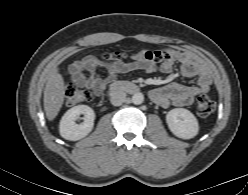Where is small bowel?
<instances>
[{
    "instance_id": "c3829d8e",
    "label": "small bowel",
    "mask_w": 248,
    "mask_h": 195,
    "mask_svg": "<svg viewBox=\"0 0 248 195\" xmlns=\"http://www.w3.org/2000/svg\"><path fill=\"white\" fill-rule=\"evenodd\" d=\"M146 50H140L132 54L131 61L116 60L111 63L102 64L93 57H86L75 62L70 67V76L75 84L87 87L95 94L100 95L106 86L116 80L119 76L133 71L152 73L160 70L170 74L175 63H179L180 73L186 78H196L193 86L180 84H167L153 89L150 93L151 99L163 108L170 106L191 105L198 95L206 94L211 87L212 79L206 65L197 59L192 53L167 49V58L160 64L145 58ZM105 68L107 74L101 76L100 70Z\"/></svg>"
}]
</instances>
